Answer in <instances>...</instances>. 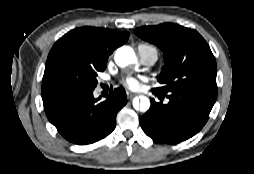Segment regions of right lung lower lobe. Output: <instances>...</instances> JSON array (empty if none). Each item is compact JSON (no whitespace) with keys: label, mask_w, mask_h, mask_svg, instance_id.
<instances>
[{"label":"right lung lower lobe","mask_w":254,"mask_h":174,"mask_svg":"<svg viewBox=\"0 0 254 174\" xmlns=\"http://www.w3.org/2000/svg\"><path fill=\"white\" fill-rule=\"evenodd\" d=\"M92 91L70 92L43 99L48 120L69 142L94 143L116 126V115L126 105L124 89H115L104 102H98Z\"/></svg>","instance_id":"1"}]
</instances>
